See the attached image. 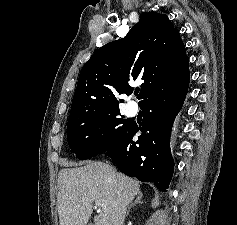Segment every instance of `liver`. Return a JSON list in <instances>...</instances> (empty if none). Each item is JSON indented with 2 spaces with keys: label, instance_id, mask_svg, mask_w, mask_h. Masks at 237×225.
<instances>
[{
  "label": "liver",
  "instance_id": "6515ba94",
  "mask_svg": "<svg viewBox=\"0 0 237 225\" xmlns=\"http://www.w3.org/2000/svg\"><path fill=\"white\" fill-rule=\"evenodd\" d=\"M139 193L138 181L116 172L108 163L92 161L85 166L64 168L58 175L60 225H86L93 201L105 207L94 217L95 225H123L127 207Z\"/></svg>",
  "mask_w": 237,
  "mask_h": 225
}]
</instances>
